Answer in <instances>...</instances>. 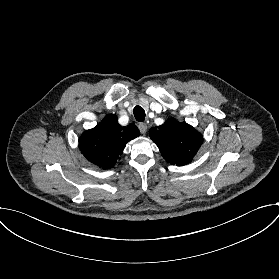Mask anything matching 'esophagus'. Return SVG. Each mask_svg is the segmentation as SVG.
Returning <instances> with one entry per match:
<instances>
[{
    "instance_id": "1",
    "label": "esophagus",
    "mask_w": 279,
    "mask_h": 279,
    "mask_svg": "<svg viewBox=\"0 0 279 279\" xmlns=\"http://www.w3.org/2000/svg\"><path fill=\"white\" fill-rule=\"evenodd\" d=\"M138 128H139L141 134L144 135L147 132L148 125L146 123H140V124H138Z\"/></svg>"
}]
</instances>
